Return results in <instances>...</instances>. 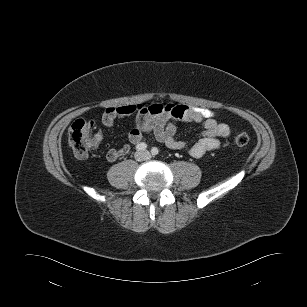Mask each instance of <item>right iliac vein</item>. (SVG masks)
<instances>
[{"mask_svg": "<svg viewBox=\"0 0 307 307\" xmlns=\"http://www.w3.org/2000/svg\"><path fill=\"white\" fill-rule=\"evenodd\" d=\"M144 157H145V155H144V153H142V152H138V153H136V155H135V158H136V160H138V161H142V160L144 159Z\"/></svg>", "mask_w": 307, "mask_h": 307, "instance_id": "obj_1", "label": "right iliac vein"}]
</instances>
